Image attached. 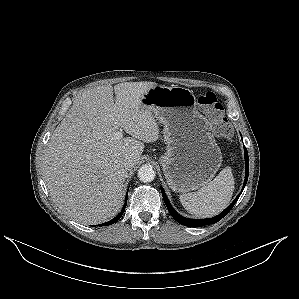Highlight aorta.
<instances>
[{
    "label": "aorta",
    "mask_w": 299,
    "mask_h": 299,
    "mask_svg": "<svg viewBox=\"0 0 299 299\" xmlns=\"http://www.w3.org/2000/svg\"><path fill=\"white\" fill-rule=\"evenodd\" d=\"M138 178L144 183L153 181L155 178L153 167L147 164L142 165L138 170Z\"/></svg>",
    "instance_id": "obj_1"
}]
</instances>
